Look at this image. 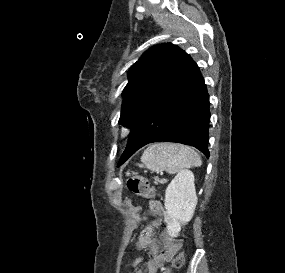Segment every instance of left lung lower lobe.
<instances>
[{"label":"left lung lower lobe","mask_w":285,"mask_h":273,"mask_svg":"<svg viewBox=\"0 0 285 273\" xmlns=\"http://www.w3.org/2000/svg\"><path fill=\"white\" fill-rule=\"evenodd\" d=\"M209 95L197 64L189 58L169 91L131 129L118 167L141 147L159 141L194 146L209 157Z\"/></svg>","instance_id":"obj_1"}]
</instances>
